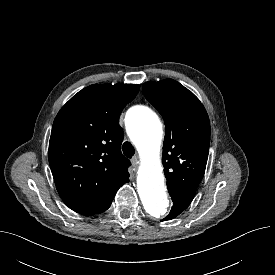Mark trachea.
Returning <instances> with one entry per match:
<instances>
[{"label": "trachea", "instance_id": "3493384b", "mask_svg": "<svg viewBox=\"0 0 275 275\" xmlns=\"http://www.w3.org/2000/svg\"><path fill=\"white\" fill-rule=\"evenodd\" d=\"M122 149H123L124 155L128 158H131L135 153L134 147L129 142H125L122 146Z\"/></svg>", "mask_w": 275, "mask_h": 275}]
</instances>
